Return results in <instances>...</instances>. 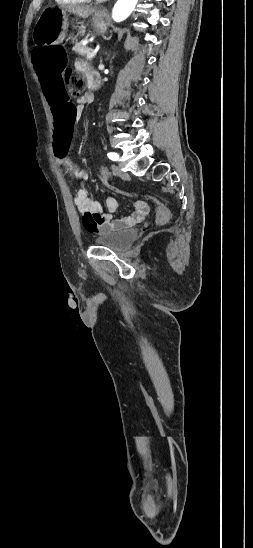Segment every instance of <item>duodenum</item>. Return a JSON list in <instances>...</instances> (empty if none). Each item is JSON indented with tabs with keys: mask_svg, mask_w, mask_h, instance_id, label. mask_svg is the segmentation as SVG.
Segmentation results:
<instances>
[{
	"mask_svg": "<svg viewBox=\"0 0 253 548\" xmlns=\"http://www.w3.org/2000/svg\"><path fill=\"white\" fill-rule=\"evenodd\" d=\"M99 85V78L97 75H92L90 78H89V87L94 90L98 87Z\"/></svg>",
	"mask_w": 253,
	"mask_h": 548,
	"instance_id": "1",
	"label": "duodenum"
}]
</instances>
